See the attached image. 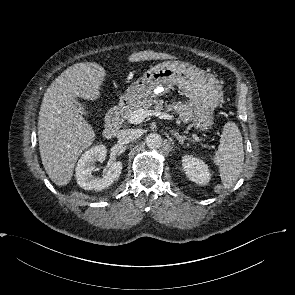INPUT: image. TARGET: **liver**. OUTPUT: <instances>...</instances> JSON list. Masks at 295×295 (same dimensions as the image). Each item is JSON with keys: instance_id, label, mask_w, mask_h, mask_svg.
<instances>
[{"instance_id": "6515ba94", "label": "liver", "mask_w": 295, "mask_h": 295, "mask_svg": "<svg viewBox=\"0 0 295 295\" xmlns=\"http://www.w3.org/2000/svg\"><path fill=\"white\" fill-rule=\"evenodd\" d=\"M166 53L140 51L129 62L174 59ZM106 71L95 62L76 63L62 72L46 90L38 118V141L42 164L58 186L67 185L81 153L94 141L90 124L74 108L77 98L96 100Z\"/></svg>"}]
</instances>
